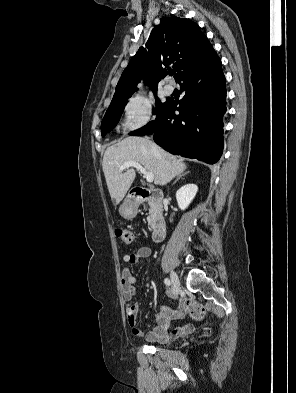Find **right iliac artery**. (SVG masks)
Instances as JSON below:
<instances>
[{
  "mask_svg": "<svg viewBox=\"0 0 296 393\" xmlns=\"http://www.w3.org/2000/svg\"><path fill=\"white\" fill-rule=\"evenodd\" d=\"M164 283H165L167 286H170V285H171V281H170L168 278H165Z\"/></svg>",
  "mask_w": 296,
  "mask_h": 393,
  "instance_id": "1",
  "label": "right iliac artery"
}]
</instances>
